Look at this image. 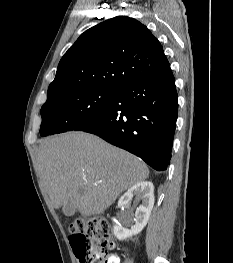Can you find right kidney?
Segmentation results:
<instances>
[{
	"label": "right kidney",
	"instance_id": "ca27d5eb",
	"mask_svg": "<svg viewBox=\"0 0 233 263\" xmlns=\"http://www.w3.org/2000/svg\"><path fill=\"white\" fill-rule=\"evenodd\" d=\"M135 196L136 202L142 201L135 212V225L126 229L120 224L113 226V233L118 240H125L139 234L146 226L154 206V186L149 181H142L132 186L118 201V206H129Z\"/></svg>",
	"mask_w": 233,
	"mask_h": 263
}]
</instances>
